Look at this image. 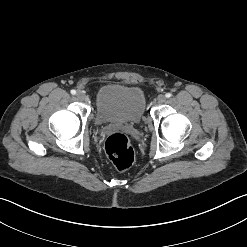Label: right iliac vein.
Masks as SVG:
<instances>
[{"label": "right iliac vein", "mask_w": 247, "mask_h": 247, "mask_svg": "<svg viewBox=\"0 0 247 247\" xmlns=\"http://www.w3.org/2000/svg\"><path fill=\"white\" fill-rule=\"evenodd\" d=\"M76 97H77V99L80 100V101L86 100V95H85L83 92H81V91H79V92L76 94Z\"/></svg>", "instance_id": "right-iliac-vein-1"}]
</instances>
